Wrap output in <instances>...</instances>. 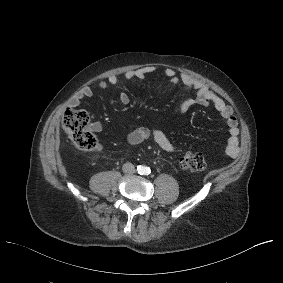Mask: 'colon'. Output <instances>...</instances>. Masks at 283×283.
<instances>
[{
    "instance_id": "1",
    "label": "colon",
    "mask_w": 283,
    "mask_h": 283,
    "mask_svg": "<svg viewBox=\"0 0 283 283\" xmlns=\"http://www.w3.org/2000/svg\"><path fill=\"white\" fill-rule=\"evenodd\" d=\"M89 116L83 110L68 108L63 115V127L72 142L81 150L90 151L96 147V139L88 130ZM182 169L199 172L206 167L205 158L198 152H187L179 160Z\"/></svg>"
}]
</instances>
